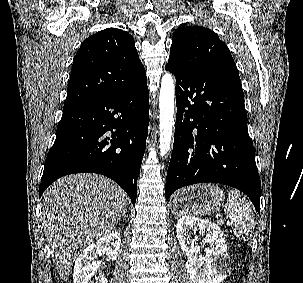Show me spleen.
Segmentation results:
<instances>
[{"label": "spleen", "instance_id": "3e777b00", "mask_svg": "<svg viewBox=\"0 0 303 283\" xmlns=\"http://www.w3.org/2000/svg\"><path fill=\"white\" fill-rule=\"evenodd\" d=\"M224 211L231 218L236 237L250 239L255 229V218L248 200L241 197L237 190H230Z\"/></svg>", "mask_w": 303, "mask_h": 283}]
</instances>
